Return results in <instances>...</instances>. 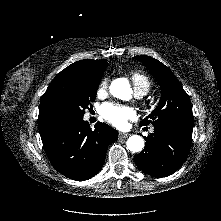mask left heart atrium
Wrapping results in <instances>:
<instances>
[{"mask_svg": "<svg viewBox=\"0 0 221 221\" xmlns=\"http://www.w3.org/2000/svg\"><path fill=\"white\" fill-rule=\"evenodd\" d=\"M102 116L117 128H125L129 120L135 118V111L130 107L105 104L101 108Z\"/></svg>", "mask_w": 221, "mask_h": 221, "instance_id": "1", "label": "left heart atrium"}]
</instances>
